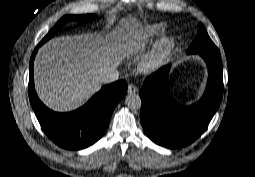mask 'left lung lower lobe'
I'll return each instance as SVG.
<instances>
[{"instance_id": "1", "label": "left lung lower lobe", "mask_w": 255, "mask_h": 177, "mask_svg": "<svg viewBox=\"0 0 255 177\" xmlns=\"http://www.w3.org/2000/svg\"><path fill=\"white\" fill-rule=\"evenodd\" d=\"M199 55L208 65L209 78L203 98L190 107H180L168 88L169 66L149 76L140 90L141 123L148 137L158 145L177 148L188 145L206 129L217 111L223 89L219 51Z\"/></svg>"}]
</instances>
